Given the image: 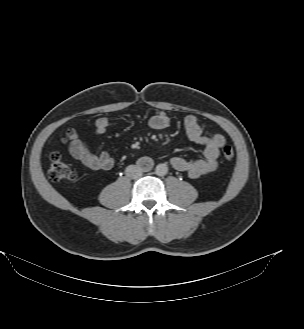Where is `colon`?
<instances>
[{
    "label": "colon",
    "instance_id": "obj_1",
    "mask_svg": "<svg viewBox=\"0 0 304 329\" xmlns=\"http://www.w3.org/2000/svg\"><path fill=\"white\" fill-rule=\"evenodd\" d=\"M73 133H68L67 136L63 139L64 143H71L74 138ZM222 155L224 159L231 161L235 157L234 149L226 145L222 149ZM49 177L52 181L57 183H68L74 181L76 178L75 170L63 159L59 152H53L50 155V168H49Z\"/></svg>",
    "mask_w": 304,
    "mask_h": 329
}]
</instances>
